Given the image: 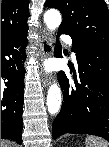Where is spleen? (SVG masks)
<instances>
[{
    "label": "spleen",
    "instance_id": "spleen-1",
    "mask_svg": "<svg viewBox=\"0 0 109 147\" xmlns=\"http://www.w3.org/2000/svg\"><path fill=\"white\" fill-rule=\"evenodd\" d=\"M86 147H109V143L99 137L87 136L85 139Z\"/></svg>",
    "mask_w": 109,
    "mask_h": 147
}]
</instances>
